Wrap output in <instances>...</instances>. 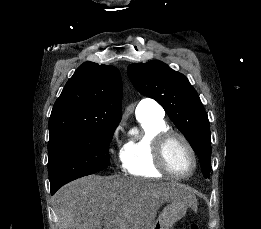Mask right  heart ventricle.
<instances>
[{
    "instance_id": "right-heart-ventricle-1",
    "label": "right heart ventricle",
    "mask_w": 261,
    "mask_h": 229,
    "mask_svg": "<svg viewBox=\"0 0 261 229\" xmlns=\"http://www.w3.org/2000/svg\"><path fill=\"white\" fill-rule=\"evenodd\" d=\"M138 118L143 132L135 139L126 142L120 150L123 169L138 176H152L162 173L154 158V144L157 136L169 130L164 116H154L151 113Z\"/></svg>"
}]
</instances>
